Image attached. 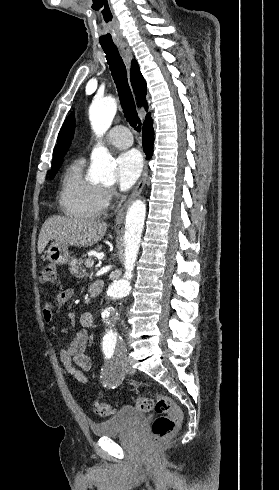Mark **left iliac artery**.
<instances>
[{
    "label": "left iliac artery",
    "mask_w": 279,
    "mask_h": 490,
    "mask_svg": "<svg viewBox=\"0 0 279 490\" xmlns=\"http://www.w3.org/2000/svg\"><path fill=\"white\" fill-rule=\"evenodd\" d=\"M114 347H115V346H114V344H113V343H112V345H109V346H108V348H109V349H110V348H114Z\"/></svg>",
    "instance_id": "obj_1"
}]
</instances>
